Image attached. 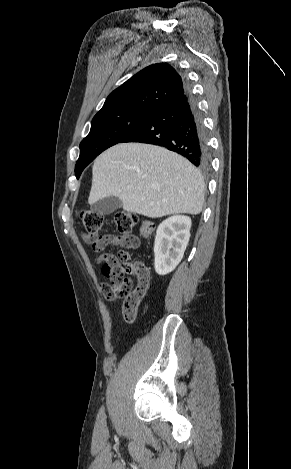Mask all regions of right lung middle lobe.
<instances>
[{
	"instance_id": "obj_1",
	"label": "right lung middle lobe",
	"mask_w": 291,
	"mask_h": 469,
	"mask_svg": "<svg viewBox=\"0 0 291 469\" xmlns=\"http://www.w3.org/2000/svg\"><path fill=\"white\" fill-rule=\"evenodd\" d=\"M147 110H125L115 114L94 117L91 130L80 143V157L75 166L76 177L101 152L121 142L152 114Z\"/></svg>"
}]
</instances>
